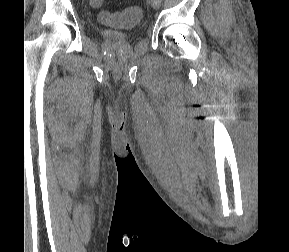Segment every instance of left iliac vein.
<instances>
[{"label": "left iliac vein", "mask_w": 289, "mask_h": 252, "mask_svg": "<svg viewBox=\"0 0 289 252\" xmlns=\"http://www.w3.org/2000/svg\"><path fill=\"white\" fill-rule=\"evenodd\" d=\"M150 4L154 9H158L161 5V0H150Z\"/></svg>", "instance_id": "obj_1"}]
</instances>
